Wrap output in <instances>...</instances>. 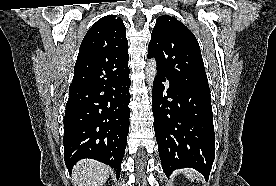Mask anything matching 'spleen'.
<instances>
[{
  "mask_svg": "<svg viewBox=\"0 0 276 186\" xmlns=\"http://www.w3.org/2000/svg\"><path fill=\"white\" fill-rule=\"evenodd\" d=\"M183 173L191 181H194V179H198V173L193 169H184Z\"/></svg>",
  "mask_w": 276,
  "mask_h": 186,
  "instance_id": "1",
  "label": "spleen"
}]
</instances>
